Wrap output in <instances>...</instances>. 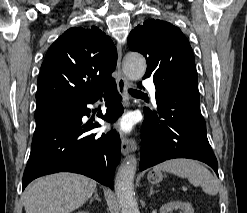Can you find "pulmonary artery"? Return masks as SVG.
<instances>
[{"mask_svg": "<svg viewBox=\"0 0 247 213\" xmlns=\"http://www.w3.org/2000/svg\"><path fill=\"white\" fill-rule=\"evenodd\" d=\"M144 86L149 91L151 97L154 99L155 96H156V87H155V85L152 82L147 80V81H145Z\"/></svg>", "mask_w": 247, "mask_h": 213, "instance_id": "obj_1", "label": "pulmonary artery"}]
</instances>
